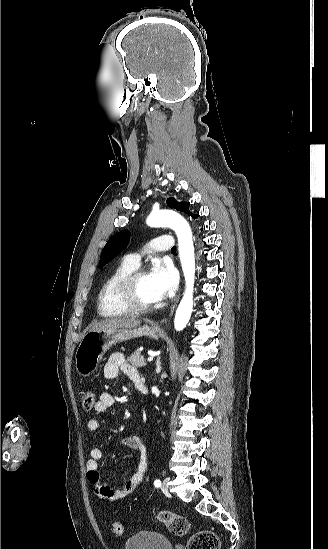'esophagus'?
Returning a JSON list of instances; mask_svg holds the SVG:
<instances>
[{"label":"esophagus","mask_w":328,"mask_h":549,"mask_svg":"<svg viewBox=\"0 0 328 549\" xmlns=\"http://www.w3.org/2000/svg\"><path fill=\"white\" fill-rule=\"evenodd\" d=\"M178 300H179V297L176 298V301H175L174 305H173V306L171 307V309H170V316H172V314H173V312H174V309H175V307H176V304H177ZM161 322H162V323H163V322H166V319H163Z\"/></svg>","instance_id":"1"}]
</instances>
